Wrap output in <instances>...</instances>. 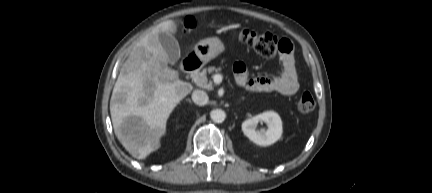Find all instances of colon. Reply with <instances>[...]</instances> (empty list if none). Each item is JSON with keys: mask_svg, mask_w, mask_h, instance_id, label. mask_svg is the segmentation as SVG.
<instances>
[{"mask_svg": "<svg viewBox=\"0 0 432 193\" xmlns=\"http://www.w3.org/2000/svg\"><path fill=\"white\" fill-rule=\"evenodd\" d=\"M195 26V22L191 18L184 21V27L191 29ZM240 40L243 44L253 49L257 54L270 58L276 55H290L292 53V45L289 40L278 39L272 33H257L252 30L245 29L240 34ZM316 106L315 98L310 92H304L298 101V109L302 113H308L314 110Z\"/></svg>", "mask_w": 432, "mask_h": 193, "instance_id": "1", "label": "colon"}]
</instances>
